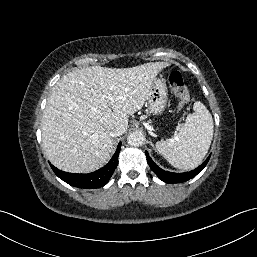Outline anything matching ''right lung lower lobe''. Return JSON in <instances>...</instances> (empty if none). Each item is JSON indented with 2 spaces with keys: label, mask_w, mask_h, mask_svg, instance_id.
I'll return each mask as SVG.
<instances>
[{
  "label": "right lung lower lobe",
  "mask_w": 257,
  "mask_h": 257,
  "mask_svg": "<svg viewBox=\"0 0 257 257\" xmlns=\"http://www.w3.org/2000/svg\"><path fill=\"white\" fill-rule=\"evenodd\" d=\"M121 142L111 160L101 169L89 174H74L61 171L50 164L54 173L66 183L78 188H100L108 183L118 165Z\"/></svg>",
  "instance_id": "98d812e1"
}]
</instances>
